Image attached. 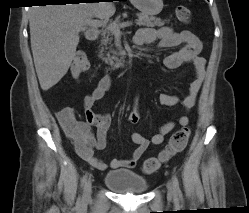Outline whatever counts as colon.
<instances>
[{
  "instance_id": "colon-1",
  "label": "colon",
  "mask_w": 249,
  "mask_h": 213,
  "mask_svg": "<svg viewBox=\"0 0 249 213\" xmlns=\"http://www.w3.org/2000/svg\"><path fill=\"white\" fill-rule=\"evenodd\" d=\"M176 16L183 23H189L191 21V11L186 6H178L176 8ZM88 70L89 62L86 56L81 52L76 53L71 66L72 75L77 78L81 74L86 73ZM190 132L189 127H183L176 131L170 137L168 144L157 158L144 161L142 170L147 174L154 173L163 163L167 162L170 158L181 152L188 142Z\"/></svg>"
}]
</instances>
